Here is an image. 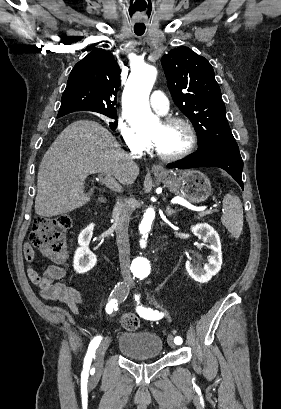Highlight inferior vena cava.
<instances>
[{"instance_id": "602c4592", "label": "inferior vena cava", "mask_w": 281, "mask_h": 409, "mask_svg": "<svg viewBox=\"0 0 281 409\" xmlns=\"http://www.w3.org/2000/svg\"><path fill=\"white\" fill-rule=\"evenodd\" d=\"M129 223L130 211H128V209L120 211L118 219H116V241L119 251L121 275L124 281L133 283L130 275V245L128 235Z\"/></svg>"}]
</instances>
